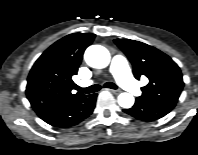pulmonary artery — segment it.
<instances>
[{
  "label": "pulmonary artery",
  "instance_id": "e3ab8cb5",
  "mask_svg": "<svg viewBox=\"0 0 198 155\" xmlns=\"http://www.w3.org/2000/svg\"><path fill=\"white\" fill-rule=\"evenodd\" d=\"M110 72L116 79V81L126 90L138 93L140 91L138 84L136 81L132 78L128 62L127 60L120 55L114 56L110 62L109 66ZM92 82L86 81L81 82V86H88Z\"/></svg>",
  "mask_w": 198,
  "mask_h": 155
}]
</instances>
